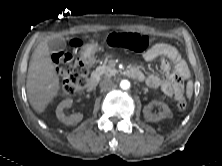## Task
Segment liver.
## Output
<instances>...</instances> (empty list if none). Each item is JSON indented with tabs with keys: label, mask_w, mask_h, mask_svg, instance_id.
I'll return each mask as SVG.
<instances>
[{
	"label": "liver",
	"mask_w": 222,
	"mask_h": 166,
	"mask_svg": "<svg viewBox=\"0 0 222 166\" xmlns=\"http://www.w3.org/2000/svg\"><path fill=\"white\" fill-rule=\"evenodd\" d=\"M32 108L42 113L60 90L59 76L50 57L47 41H41L32 54L26 81Z\"/></svg>",
	"instance_id": "obj_1"
}]
</instances>
